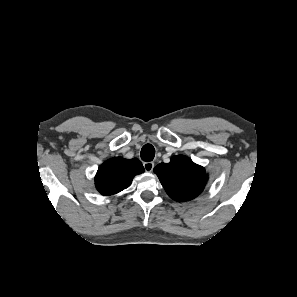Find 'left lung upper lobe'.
<instances>
[{"mask_svg":"<svg viewBox=\"0 0 297 297\" xmlns=\"http://www.w3.org/2000/svg\"><path fill=\"white\" fill-rule=\"evenodd\" d=\"M154 172L167 194L178 202L197 197L207 180L204 168L183 155L172 157L168 164L157 165Z\"/></svg>","mask_w":297,"mask_h":297,"instance_id":"1","label":"left lung upper lobe"}]
</instances>
